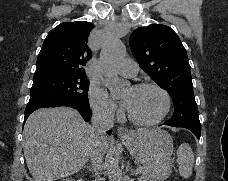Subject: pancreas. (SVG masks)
Masks as SVG:
<instances>
[{
  "label": "pancreas",
  "mask_w": 228,
  "mask_h": 181,
  "mask_svg": "<svg viewBox=\"0 0 228 181\" xmlns=\"http://www.w3.org/2000/svg\"><path fill=\"white\" fill-rule=\"evenodd\" d=\"M146 173H148L147 169H143V167H141L140 175H142V181H146V179H148V177H145Z\"/></svg>",
  "instance_id": "obj_1"
}]
</instances>
